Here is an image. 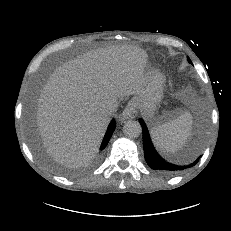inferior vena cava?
I'll use <instances>...</instances> for the list:
<instances>
[{"instance_id": "602c4592", "label": "inferior vena cava", "mask_w": 231, "mask_h": 231, "mask_svg": "<svg viewBox=\"0 0 231 231\" xmlns=\"http://www.w3.org/2000/svg\"><path fill=\"white\" fill-rule=\"evenodd\" d=\"M115 111H116V107L113 104L108 105L107 108H106V113L107 114H113Z\"/></svg>"}]
</instances>
